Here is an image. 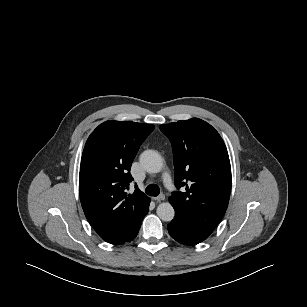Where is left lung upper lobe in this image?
Listing matches in <instances>:
<instances>
[{
    "label": "left lung upper lobe",
    "instance_id": "1",
    "mask_svg": "<svg viewBox=\"0 0 307 307\" xmlns=\"http://www.w3.org/2000/svg\"><path fill=\"white\" fill-rule=\"evenodd\" d=\"M159 128L172 144L175 185L185 187L169 197L175 215L210 235L227 209L231 192L226 146L218 132L198 118Z\"/></svg>",
    "mask_w": 307,
    "mask_h": 307
}]
</instances>
